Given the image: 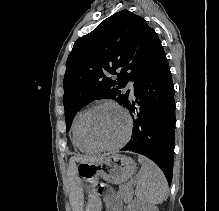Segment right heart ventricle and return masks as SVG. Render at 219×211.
<instances>
[{
    "instance_id": "e07e8e85",
    "label": "right heart ventricle",
    "mask_w": 219,
    "mask_h": 211,
    "mask_svg": "<svg viewBox=\"0 0 219 211\" xmlns=\"http://www.w3.org/2000/svg\"><path fill=\"white\" fill-rule=\"evenodd\" d=\"M86 110L78 111L72 121L71 125V137L72 142L76 148L83 152L94 153L97 151L96 148L90 146L83 138L81 132V121Z\"/></svg>"
}]
</instances>
